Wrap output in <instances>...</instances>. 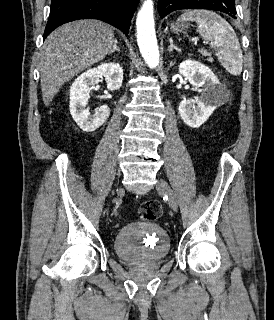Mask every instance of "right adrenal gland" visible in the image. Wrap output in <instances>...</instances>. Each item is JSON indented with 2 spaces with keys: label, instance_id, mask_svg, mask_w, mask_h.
I'll return each mask as SVG.
<instances>
[{
  "label": "right adrenal gland",
  "instance_id": "1",
  "mask_svg": "<svg viewBox=\"0 0 274 320\" xmlns=\"http://www.w3.org/2000/svg\"><path fill=\"white\" fill-rule=\"evenodd\" d=\"M114 52H118V54H120V48H118L117 42L113 48V52H111V54H108V56H112V54H114Z\"/></svg>",
  "mask_w": 274,
  "mask_h": 320
}]
</instances>
